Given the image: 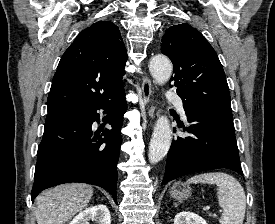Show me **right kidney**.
Wrapping results in <instances>:
<instances>
[{"label": "right kidney", "instance_id": "ca27d5eb", "mask_svg": "<svg viewBox=\"0 0 275 224\" xmlns=\"http://www.w3.org/2000/svg\"><path fill=\"white\" fill-rule=\"evenodd\" d=\"M90 220L95 224H111L109 209L102 204L87 208L81 211L70 224H90Z\"/></svg>", "mask_w": 275, "mask_h": 224}]
</instances>
